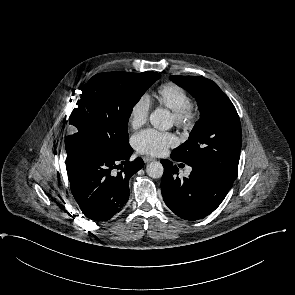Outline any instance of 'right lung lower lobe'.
Instances as JSON below:
<instances>
[{"instance_id": "1", "label": "right lung lower lobe", "mask_w": 295, "mask_h": 295, "mask_svg": "<svg viewBox=\"0 0 295 295\" xmlns=\"http://www.w3.org/2000/svg\"><path fill=\"white\" fill-rule=\"evenodd\" d=\"M132 153L131 146L122 153L90 148L66 159L71 192L87 218L107 221L127 203L129 179L144 166L141 158L129 161Z\"/></svg>"}]
</instances>
